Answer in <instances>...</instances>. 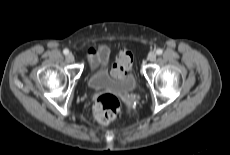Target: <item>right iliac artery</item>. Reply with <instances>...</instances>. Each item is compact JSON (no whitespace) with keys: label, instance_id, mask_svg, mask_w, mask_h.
Wrapping results in <instances>:
<instances>
[{"label":"right iliac artery","instance_id":"82829eb1","mask_svg":"<svg viewBox=\"0 0 230 155\" xmlns=\"http://www.w3.org/2000/svg\"><path fill=\"white\" fill-rule=\"evenodd\" d=\"M63 53H64L65 55H67V54L69 53V50H68V49H64V50H63Z\"/></svg>","mask_w":230,"mask_h":155}]
</instances>
